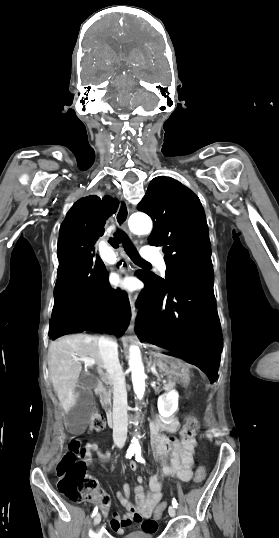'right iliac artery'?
<instances>
[{
  "instance_id": "obj_1",
  "label": "right iliac artery",
  "mask_w": 279,
  "mask_h": 538,
  "mask_svg": "<svg viewBox=\"0 0 279 538\" xmlns=\"http://www.w3.org/2000/svg\"><path fill=\"white\" fill-rule=\"evenodd\" d=\"M135 451L132 450V449H128L127 450V453H126V458H131L133 455H134ZM98 512V507H95L93 512H92V517L95 516Z\"/></svg>"
}]
</instances>
